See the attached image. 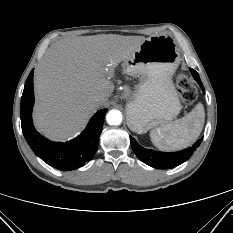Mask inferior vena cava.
I'll list each match as a JSON object with an SVG mask.
<instances>
[{"instance_id":"inferior-vena-cava-1","label":"inferior vena cava","mask_w":233,"mask_h":233,"mask_svg":"<svg viewBox=\"0 0 233 233\" xmlns=\"http://www.w3.org/2000/svg\"><path fill=\"white\" fill-rule=\"evenodd\" d=\"M102 98H103L102 95H97V96H96V100H100V99H102Z\"/></svg>"}]
</instances>
